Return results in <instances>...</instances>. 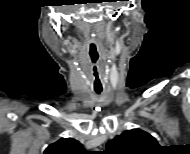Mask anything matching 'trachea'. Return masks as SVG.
Masks as SVG:
<instances>
[{"label":"trachea","mask_w":190,"mask_h":154,"mask_svg":"<svg viewBox=\"0 0 190 154\" xmlns=\"http://www.w3.org/2000/svg\"><path fill=\"white\" fill-rule=\"evenodd\" d=\"M97 94H100L101 93V90H96L95 91Z\"/></svg>","instance_id":"obj_1"}]
</instances>
